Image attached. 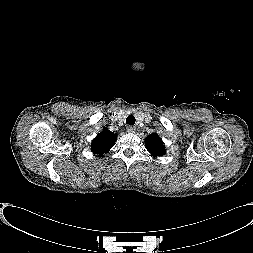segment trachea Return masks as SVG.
Segmentation results:
<instances>
[{
  "instance_id": "trachea-1",
  "label": "trachea",
  "mask_w": 253,
  "mask_h": 253,
  "mask_svg": "<svg viewBox=\"0 0 253 253\" xmlns=\"http://www.w3.org/2000/svg\"><path fill=\"white\" fill-rule=\"evenodd\" d=\"M126 123L128 125H134L135 124V117L133 115H129L126 119Z\"/></svg>"
}]
</instances>
